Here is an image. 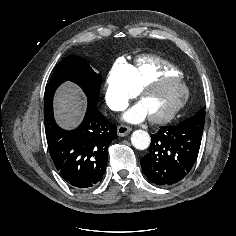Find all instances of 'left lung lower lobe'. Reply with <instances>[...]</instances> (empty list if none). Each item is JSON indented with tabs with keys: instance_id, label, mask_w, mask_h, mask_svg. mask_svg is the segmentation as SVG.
I'll use <instances>...</instances> for the list:
<instances>
[{
	"instance_id": "0a47b994",
	"label": "left lung lower lobe",
	"mask_w": 236,
	"mask_h": 236,
	"mask_svg": "<svg viewBox=\"0 0 236 236\" xmlns=\"http://www.w3.org/2000/svg\"><path fill=\"white\" fill-rule=\"evenodd\" d=\"M203 130L183 125L160 127L151 135L150 152L141 159L148 180L156 185H173L193 167Z\"/></svg>"
}]
</instances>
